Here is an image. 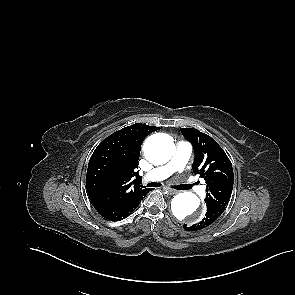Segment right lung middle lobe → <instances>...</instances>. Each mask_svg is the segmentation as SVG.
<instances>
[{"label": "right lung middle lobe", "mask_w": 295, "mask_h": 295, "mask_svg": "<svg viewBox=\"0 0 295 295\" xmlns=\"http://www.w3.org/2000/svg\"><path fill=\"white\" fill-rule=\"evenodd\" d=\"M101 176L100 175H96V176H94V180L96 181V182H100L101 181Z\"/></svg>", "instance_id": "1"}]
</instances>
